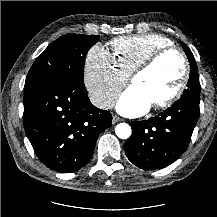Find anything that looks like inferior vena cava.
Segmentation results:
<instances>
[{"instance_id":"inferior-vena-cava-1","label":"inferior vena cava","mask_w":217,"mask_h":217,"mask_svg":"<svg viewBox=\"0 0 217 217\" xmlns=\"http://www.w3.org/2000/svg\"><path fill=\"white\" fill-rule=\"evenodd\" d=\"M91 103L100 109H110L115 104V97L108 93H94L89 96Z\"/></svg>"}]
</instances>
